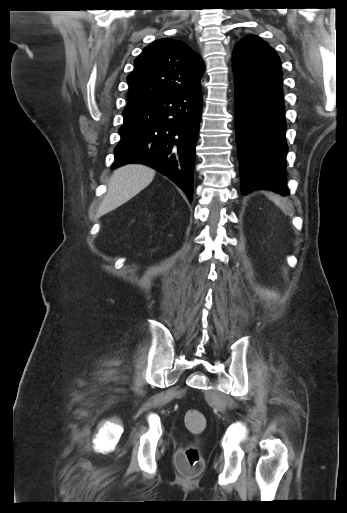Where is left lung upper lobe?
<instances>
[{
	"instance_id": "1",
	"label": "left lung upper lobe",
	"mask_w": 347,
	"mask_h": 513,
	"mask_svg": "<svg viewBox=\"0 0 347 513\" xmlns=\"http://www.w3.org/2000/svg\"><path fill=\"white\" fill-rule=\"evenodd\" d=\"M233 63H242L255 69L281 70V61L275 51L255 35H248L236 44Z\"/></svg>"
}]
</instances>
